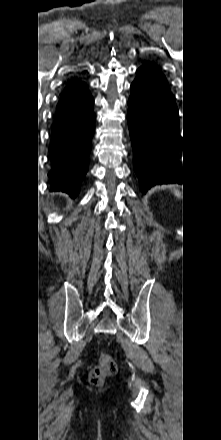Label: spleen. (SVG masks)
<instances>
[{"label":"spleen","mask_w":221,"mask_h":440,"mask_svg":"<svg viewBox=\"0 0 221 440\" xmlns=\"http://www.w3.org/2000/svg\"><path fill=\"white\" fill-rule=\"evenodd\" d=\"M174 194H175L177 197H180V196H181V193H180L178 190H174Z\"/></svg>","instance_id":"spleen-1"}]
</instances>
